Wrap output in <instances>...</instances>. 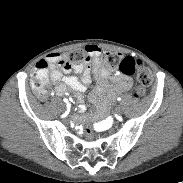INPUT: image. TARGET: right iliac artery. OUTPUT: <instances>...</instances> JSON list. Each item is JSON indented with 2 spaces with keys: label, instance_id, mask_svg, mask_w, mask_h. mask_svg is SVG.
<instances>
[{
  "label": "right iliac artery",
  "instance_id": "1",
  "mask_svg": "<svg viewBox=\"0 0 183 183\" xmlns=\"http://www.w3.org/2000/svg\"><path fill=\"white\" fill-rule=\"evenodd\" d=\"M63 101H64L65 103H68V99H67V98H64Z\"/></svg>",
  "mask_w": 183,
  "mask_h": 183
}]
</instances>
